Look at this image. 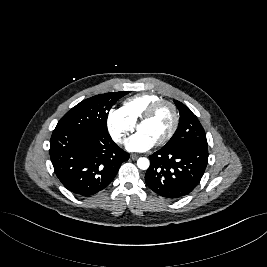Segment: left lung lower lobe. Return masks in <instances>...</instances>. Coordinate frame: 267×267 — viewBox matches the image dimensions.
Masks as SVG:
<instances>
[{
    "label": "left lung lower lobe",
    "instance_id": "obj_1",
    "mask_svg": "<svg viewBox=\"0 0 267 267\" xmlns=\"http://www.w3.org/2000/svg\"><path fill=\"white\" fill-rule=\"evenodd\" d=\"M149 158L147 186L164 198L178 199L192 192L200 182L208 163V148L199 145L161 148Z\"/></svg>",
    "mask_w": 267,
    "mask_h": 267
}]
</instances>
